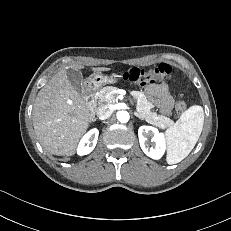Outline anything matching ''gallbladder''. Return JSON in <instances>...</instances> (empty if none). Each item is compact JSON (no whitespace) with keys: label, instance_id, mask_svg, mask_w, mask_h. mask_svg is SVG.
Wrapping results in <instances>:
<instances>
[{"label":"gallbladder","instance_id":"1","mask_svg":"<svg viewBox=\"0 0 231 231\" xmlns=\"http://www.w3.org/2000/svg\"><path fill=\"white\" fill-rule=\"evenodd\" d=\"M67 78L77 92L83 91V76L79 70L68 69Z\"/></svg>","mask_w":231,"mask_h":231}]
</instances>
